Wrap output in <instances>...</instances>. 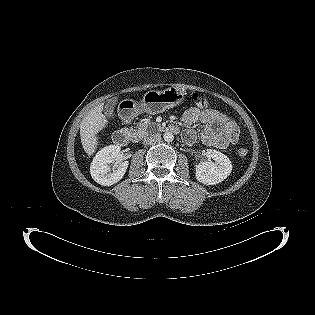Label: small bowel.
<instances>
[{
    "label": "small bowel",
    "mask_w": 315,
    "mask_h": 315,
    "mask_svg": "<svg viewBox=\"0 0 315 315\" xmlns=\"http://www.w3.org/2000/svg\"><path fill=\"white\" fill-rule=\"evenodd\" d=\"M182 122L188 127L183 132V140L189 145L201 140L207 146L225 149L235 144L239 138L237 124L226 114L210 107L188 109L182 116ZM196 123L203 124L200 133L190 128Z\"/></svg>",
    "instance_id": "c3829d8e"
}]
</instances>
